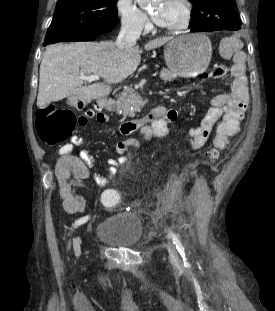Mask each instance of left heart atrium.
<instances>
[{
  "instance_id": "obj_1",
  "label": "left heart atrium",
  "mask_w": 275,
  "mask_h": 311,
  "mask_svg": "<svg viewBox=\"0 0 275 311\" xmlns=\"http://www.w3.org/2000/svg\"><path fill=\"white\" fill-rule=\"evenodd\" d=\"M153 21L157 24V25H162L163 22V14L161 12V10L157 9L154 10V13L152 15Z\"/></svg>"
}]
</instances>
